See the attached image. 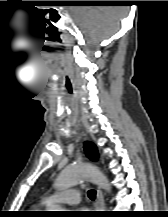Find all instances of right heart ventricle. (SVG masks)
<instances>
[{
    "instance_id": "obj_1",
    "label": "right heart ventricle",
    "mask_w": 168,
    "mask_h": 217,
    "mask_svg": "<svg viewBox=\"0 0 168 217\" xmlns=\"http://www.w3.org/2000/svg\"><path fill=\"white\" fill-rule=\"evenodd\" d=\"M43 203L37 205V206H33L32 207V211H36L37 209H39L40 207H42Z\"/></svg>"
}]
</instances>
